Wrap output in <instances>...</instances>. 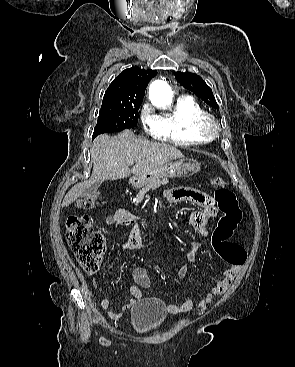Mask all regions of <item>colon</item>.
I'll list each match as a JSON object with an SVG mask.
<instances>
[{"instance_id": "colon-1", "label": "colon", "mask_w": 295, "mask_h": 367, "mask_svg": "<svg viewBox=\"0 0 295 367\" xmlns=\"http://www.w3.org/2000/svg\"><path fill=\"white\" fill-rule=\"evenodd\" d=\"M215 197L223 216L214 235V243L221 257L230 265H242L246 259L245 250L238 244L229 241L242 213L235 194L228 189L222 178L211 181ZM97 195L81 196L76 206L87 210L96 205ZM66 237L80 266L87 272L97 270L105 249L103 237L94 230L93 219L89 215H70L66 221Z\"/></svg>"}]
</instances>
